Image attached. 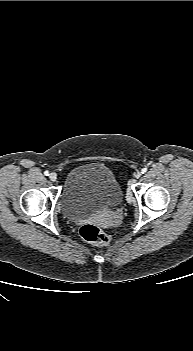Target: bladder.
<instances>
[{
    "label": "bladder",
    "mask_w": 193,
    "mask_h": 351,
    "mask_svg": "<svg viewBox=\"0 0 193 351\" xmlns=\"http://www.w3.org/2000/svg\"><path fill=\"white\" fill-rule=\"evenodd\" d=\"M122 188L104 164L87 163L70 170L65 178L60 207L68 219L94 215L121 204Z\"/></svg>",
    "instance_id": "1"
}]
</instances>
